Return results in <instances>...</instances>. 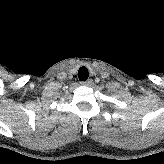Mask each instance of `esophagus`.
Here are the masks:
<instances>
[{
	"mask_svg": "<svg viewBox=\"0 0 164 164\" xmlns=\"http://www.w3.org/2000/svg\"><path fill=\"white\" fill-rule=\"evenodd\" d=\"M83 85H86V86H91L93 84V80L92 79H89L85 82H82Z\"/></svg>",
	"mask_w": 164,
	"mask_h": 164,
	"instance_id": "esophagus-1",
	"label": "esophagus"
}]
</instances>
